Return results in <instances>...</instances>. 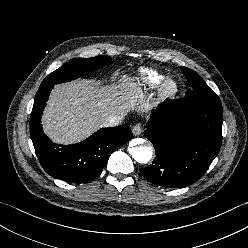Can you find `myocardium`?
<instances>
[{
    "mask_svg": "<svg viewBox=\"0 0 248 248\" xmlns=\"http://www.w3.org/2000/svg\"><path fill=\"white\" fill-rule=\"evenodd\" d=\"M179 91V85L176 80L167 78L165 79L159 88V94L163 99L174 98Z\"/></svg>",
    "mask_w": 248,
    "mask_h": 248,
    "instance_id": "myocardium-1",
    "label": "myocardium"
}]
</instances>
